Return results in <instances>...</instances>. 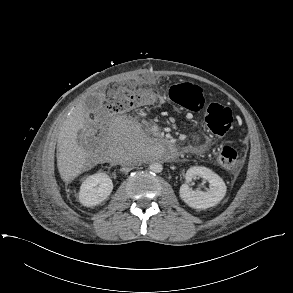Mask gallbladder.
<instances>
[{
    "mask_svg": "<svg viewBox=\"0 0 293 293\" xmlns=\"http://www.w3.org/2000/svg\"><path fill=\"white\" fill-rule=\"evenodd\" d=\"M101 104V98L95 95H90L86 98L84 109L87 112H93L96 110Z\"/></svg>",
    "mask_w": 293,
    "mask_h": 293,
    "instance_id": "gallbladder-1",
    "label": "gallbladder"
}]
</instances>
